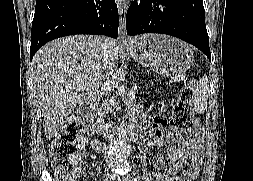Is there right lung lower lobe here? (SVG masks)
<instances>
[{"mask_svg": "<svg viewBox=\"0 0 253 181\" xmlns=\"http://www.w3.org/2000/svg\"><path fill=\"white\" fill-rule=\"evenodd\" d=\"M114 0H36L30 58L45 43L67 35L98 34L117 38Z\"/></svg>", "mask_w": 253, "mask_h": 181, "instance_id": "1", "label": "right lung lower lobe"}]
</instances>
